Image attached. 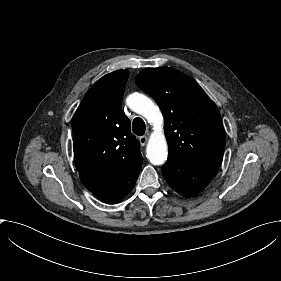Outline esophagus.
Here are the masks:
<instances>
[{
  "instance_id": "1",
  "label": "esophagus",
  "mask_w": 281,
  "mask_h": 281,
  "mask_svg": "<svg viewBox=\"0 0 281 281\" xmlns=\"http://www.w3.org/2000/svg\"><path fill=\"white\" fill-rule=\"evenodd\" d=\"M139 141H140V144H141L142 146H144V145H146V143L148 142V137L145 136V135H143V136H141V137L139 138Z\"/></svg>"
}]
</instances>
